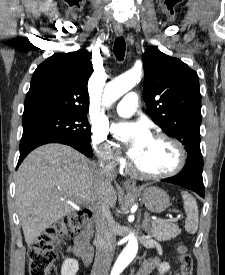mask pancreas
<instances>
[{
  "label": "pancreas",
  "mask_w": 225,
  "mask_h": 275,
  "mask_svg": "<svg viewBox=\"0 0 225 275\" xmlns=\"http://www.w3.org/2000/svg\"><path fill=\"white\" fill-rule=\"evenodd\" d=\"M148 232L152 233L157 241H167L177 237L181 230L176 224L169 221L155 220L151 222Z\"/></svg>",
  "instance_id": "pancreas-1"
}]
</instances>
